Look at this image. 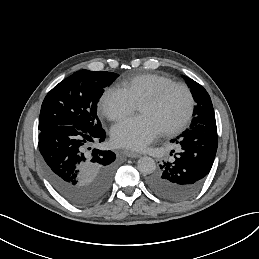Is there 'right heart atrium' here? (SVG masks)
<instances>
[{
  "label": "right heart atrium",
  "mask_w": 259,
  "mask_h": 259,
  "mask_svg": "<svg viewBox=\"0 0 259 259\" xmlns=\"http://www.w3.org/2000/svg\"><path fill=\"white\" fill-rule=\"evenodd\" d=\"M99 103L102 114L111 121L126 117L134 109V103L115 88L105 89Z\"/></svg>",
  "instance_id": "right-heart-atrium-1"
}]
</instances>
